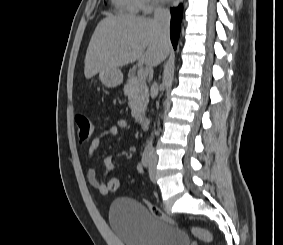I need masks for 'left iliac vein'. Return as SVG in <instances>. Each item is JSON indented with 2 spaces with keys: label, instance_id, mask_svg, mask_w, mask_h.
<instances>
[{
  "label": "left iliac vein",
  "instance_id": "obj_1",
  "mask_svg": "<svg viewBox=\"0 0 283 245\" xmlns=\"http://www.w3.org/2000/svg\"><path fill=\"white\" fill-rule=\"evenodd\" d=\"M149 177L152 182H156V158L155 155H151L149 163Z\"/></svg>",
  "mask_w": 283,
  "mask_h": 245
}]
</instances>
